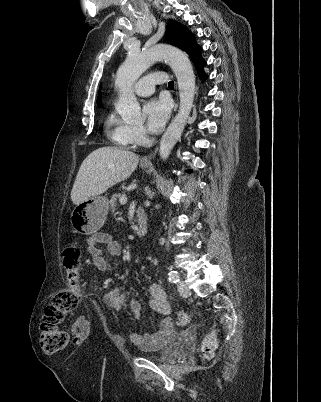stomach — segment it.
I'll return each instance as SVG.
<instances>
[{
    "label": "stomach",
    "instance_id": "1",
    "mask_svg": "<svg viewBox=\"0 0 321 402\" xmlns=\"http://www.w3.org/2000/svg\"><path fill=\"white\" fill-rule=\"evenodd\" d=\"M142 168H147V166H142ZM108 207L107 198L99 195L77 204L70 218L73 230L84 235L96 233L106 221Z\"/></svg>",
    "mask_w": 321,
    "mask_h": 402
}]
</instances>
